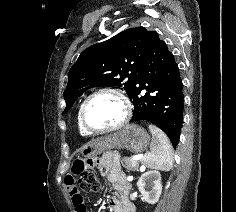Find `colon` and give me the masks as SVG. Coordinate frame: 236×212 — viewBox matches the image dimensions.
I'll return each instance as SVG.
<instances>
[{
  "mask_svg": "<svg viewBox=\"0 0 236 212\" xmlns=\"http://www.w3.org/2000/svg\"><path fill=\"white\" fill-rule=\"evenodd\" d=\"M74 172L78 175V185L83 191H97L99 181L92 161H78L74 164Z\"/></svg>",
  "mask_w": 236,
  "mask_h": 212,
  "instance_id": "colon-1",
  "label": "colon"
}]
</instances>
